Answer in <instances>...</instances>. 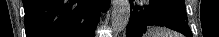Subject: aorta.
I'll list each match as a JSON object with an SVG mask.
<instances>
[{"label": "aorta", "instance_id": "1", "mask_svg": "<svg viewBox=\"0 0 219 37\" xmlns=\"http://www.w3.org/2000/svg\"><path fill=\"white\" fill-rule=\"evenodd\" d=\"M130 18L129 0H113L111 11V24L114 33L123 32Z\"/></svg>", "mask_w": 219, "mask_h": 37}]
</instances>
